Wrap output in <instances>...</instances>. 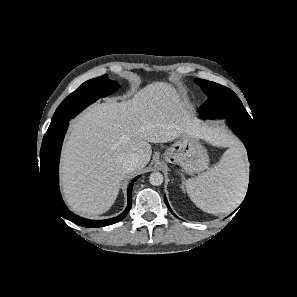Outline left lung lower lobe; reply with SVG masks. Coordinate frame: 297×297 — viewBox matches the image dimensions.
<instances>
[{
	"label": "left lung lower lobe",
	"mask_w": 297,
	"mask_h": 297,
	"mask_svg": "<svg viewBox=\"0 0 297 297\" xmlns=\"http://www.w3.org/2000/svg\"><path fill=\"white\" fill-rule=\"evenodd\" d=\"M227 122H228L230 128L233 130V132L244 143V145L247 149V152H248V158H249V162H250L249 187H248L246 198L243 201V203L241 204V207H242V205L246 201V199L251 191L253 181H254V175H255L254 171L256 172V168H257V164H258V136L256 137V130L253 127H250L248 125H245V124L237 122V121H234L232 119H227ZM165 203H166L167 207L169 208V210L172 212V214L174 216H176L173 213V211L171 210L166 197H165Z\"/></svg>",
	"instance_id": "1"
}]
</instances>
